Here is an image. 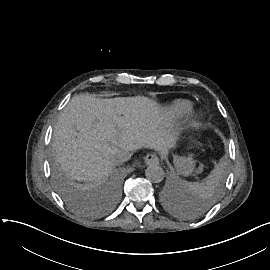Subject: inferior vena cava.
Segmentation results:
<instances>
[{
  "label": "inferior vena cava",
  "mask_w": 270,
  "mask_h": 270,
  "mask_svg": "<svg viewBox=\"0 0 270 270\" xmlns=\"http://www.w3.org/2000/svg\"><path fill=\"white\" fill-rule=\"evenodd\" d=\"M133 155V151L131 150H119L116 153L115 158L117 159L118 163L126 162L131 159V156Z\"/></svg>",
  "instance_id": "602c4592"
}]
</instances>
